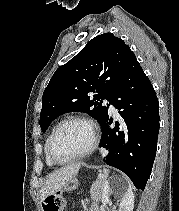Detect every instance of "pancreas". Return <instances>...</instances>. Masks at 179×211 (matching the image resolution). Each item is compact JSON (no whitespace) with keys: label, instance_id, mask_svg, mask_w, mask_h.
<instances>
[{"label":"pancreas","instance_id":"pancreas-1","mask_svg":"<svg viewBox=\"0 0 179 211\" xmlns=\"http://www.w3.org/2000/svg\"><path fill=\"white\" fill-rule=\"evenodd\" d=\"M103 186L104 180L102 179H98L92 184L90 189V197L94 202H98L100 200Z\"/></svg>","mask_w":179,"mask_h":211}]
</instances>
